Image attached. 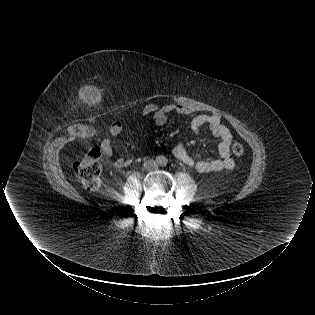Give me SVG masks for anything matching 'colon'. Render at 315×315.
<instances>
[{"label":"colon","instance_id":"5ec220e1","mask_svg":"<svg viewBox=\"0 0 315 315\" xmlns=\"http://www.w3.org/2000/svg\"><path fill=\"white\" fill-rule=\"evenodd\" d=\"M72 133L77 138H89L93 132L85 126H76ZM232 152L236 157L244 154V148L240 143L232 145ZM101 150L99 147H92L79 154L74 162L76 176L89 191H95L101 182L102 166L100 163Z\"/></svg>","mask_w":315,"mask_h":315}]
</instances>
